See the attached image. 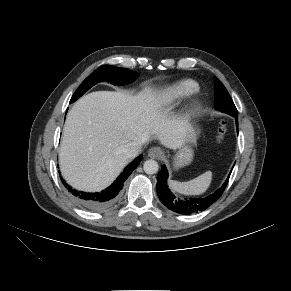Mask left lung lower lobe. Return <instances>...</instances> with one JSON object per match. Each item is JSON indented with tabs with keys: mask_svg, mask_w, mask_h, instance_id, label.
<instances>
[{
	"mask_svg": "<svg viewBox=\"0 0 291 291\" xmlns=\"http://www.w3.org/2000/svg\"><path fill=\"white\" fill-rule=\"evenodd\" d=\"M236 118V126L238 131V115H232ZM167 178H168V171L165 165L162 166L160 172L158 173L157 177V194L161 202L170 210L183 214V215H190L194 213H198L207 209L210 205H212L216 200L220 198L222 193L224 192L229 176L225 183L219 188L217 191L208 195L205 198H177L175 197L171 191L168 189L167 186Z\"/></svg>",
	"mask_w": 291,
	"mask_h": 291,
	"instance_id": "obj_1",
	"label": "left lung lower lobe"
}]
</instances>
